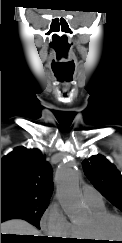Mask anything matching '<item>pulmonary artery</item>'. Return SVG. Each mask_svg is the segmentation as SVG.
Wrapping results in <instances>:
<instances>
[{
	"label": "pulmonary artery",
	"mask_w": 122,
	"mask_h": 243,
	"mask_svg": "<svg viewBox=\"0 0 122 243\" xmlns=\"http://www.w3.org/2000/svg\"><path fill=\"white\" fill-rule=\"evenodd\" d=\"M83 199L87 204L102 203V196L97 189L92 186L84 185L82 187Z\"/></svg>",
	"instance_id": "pulmonary-artery-1"
}]
</instances>
